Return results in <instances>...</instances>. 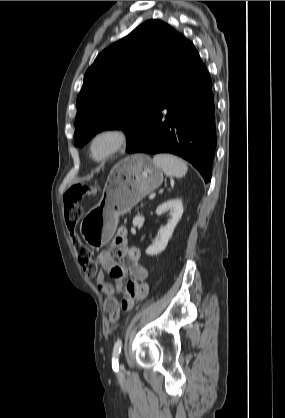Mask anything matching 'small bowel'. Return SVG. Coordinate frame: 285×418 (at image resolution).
Here are the masks:
<instances>
[{
	"label": "small bowel",
	"mask_w": 285,
	"mask_h": 418,
	"mask_svg": "<svg viewBox=\"0 0 285 418\" xmlns=\"http://www.w3.org/2000/svg\"><path fill=\"white\" fill-rule=\"evenodd\" d=\"M111 249L116 250L117 258H127L133 265L131 267L120 265L109 250L99 253L97 262L101 271L108 273L117 281L115 287L109 284V288L105 292L107 295L122 292L123 300L121 307L124 310H129L130 308L126 306L127 303L133 304L135 300L143 299L149 293V285L146 282L148 270L140 263V251L136 248H128L126 246V234L124 231L120 230L117 233L111 244ZM127 274H130V279H126ZM101 280L102 278L100 276L97 282L101 283Z\"/></svg>",
	"instance_id": "obj_1"
}]
</instances>
